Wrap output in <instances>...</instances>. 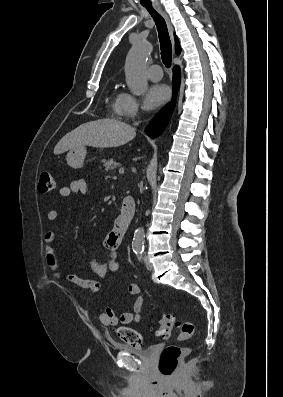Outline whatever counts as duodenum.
Instances as JSON below:
<instances>
[{
  "label": "duodenum",
  "mask_w": 283,
  "mask_h": 397,
  "mask_svg": "<svg viewBox=\"0 0 283 397\" xmlns=\"http://www.w3.org/2000/svg\"><path fill=\"white\" fill-rule=\"evenodd\" d=\"M135 213V201L131 196L123 199L122 207L119 215L114 222V228L121 234L128 229Z\"/></svg>",
  "instance_id": "duodenum-1"
}]
</instances>
